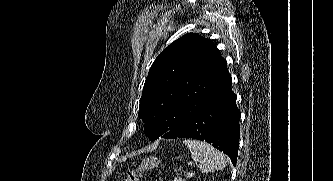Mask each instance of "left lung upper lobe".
Listing matches in <instances>:
<instances>
[{"mask_svg":"<svg viewBox=\"0 0 333 181\" xmlns=\"http://www.w3.org/2000/svg\"><path fill=\"white\" fill-rule=\"evenodd\" d=\"M228 73L227 62L210 39L188 33L165 48L152 64L139 105L150 140L175 133L173 120L200 109Z\"/></svg>","mask_w":333,"mask_h":181,"instance_id":"1","label":"left lung upper lobe"}]
</instances>
